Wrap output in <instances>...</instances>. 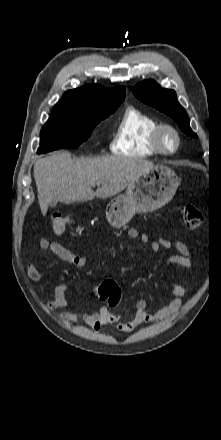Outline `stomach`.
<instances>
[{
	"label": "stomach",
	"instance_id": "stomach-1",
	"mask_svg": "<svg viewBox=\"0 0 221 440\" xmlns=\"http://www.w3.org/2000/svg\"><path fill=\"white\" fill-rule=\"evenodd\" d=\"M179 185L175 172L163 165H154L129 183L125 194L108 204L106 218L110 225L121 228L135 213H148L168 203Z\"/></svg>",
	"mask_w": 221,
	"mask_h": 440
}]
</instances>
